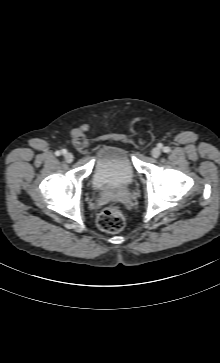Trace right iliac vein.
<instances>
[{
	"label": "right iliac vein",
	"mask_w": 220,
	"mask_h": 363,
	"mask_svg": "<svg viewBox=\"0 0 220 363\" xmlns=\"http://www.w3.org/2000/svg\"><path fill=\"white\" fill-rule=\"evenodd\" d=\"M64 158H65L66 162L70 163V162H72V161H73L74 156H73V154H72V153H70V152H66V153L64 154Z\"/></svg>",
	"instance_id": "1"
}]
</instances>
